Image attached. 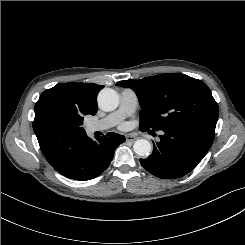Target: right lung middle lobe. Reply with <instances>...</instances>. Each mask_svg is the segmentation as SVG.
Listing matches in <instances>:
<instances>
[{
    "mask_svg": "<svg viewBox=\"0 0 245 245\" xmlns=\"http://www.w3.org/2000/svg\"><path fill=\"white\" fill-rule=\"evenodd\" d=\"M44 125L59 135H71L78 131L83 119L75 117L57 103L47 104L42 111Z\"/></svg>",
    "mask_w": 245,
    "mask_h": 245,
    "instance_id": "right-lung-middle-lobe-1",
    "label": "right lung middle lobe"
}]
</instances>
